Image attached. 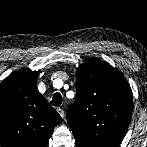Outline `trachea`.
Wrapping results in <instances>:
<instances>
[{
  "mask_svg": "<svg viewBox=\"0 0 147 147\" xmlns=\"http://www.w3.org/2000/svg\"><path fill=\"white\" fill-rule=\"evenodd\" d=\"M61 103H62V96H61V94L60 93H55L53 95V98H52L50 104L52 106H60Z\"/></svg>",
  "mask_w": 147,
  "mask_h": 147,
  "instance_id": "obj_1",
  "label": "trachea"
}]
</instances>
